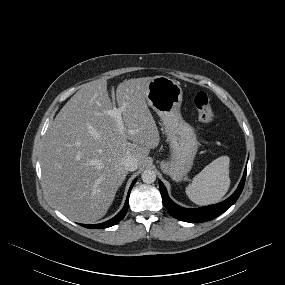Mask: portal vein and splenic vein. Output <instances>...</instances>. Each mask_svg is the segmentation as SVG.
<instances>
[{"mask_svg": "<svg viewBox=\"0 0 285 285\" xmlns=\"http://www.w3.org/2000/svg\"><path fill=\"white\" fill-rule=\"evenodd\" d=\"M123 108L124 107L113 108V109L105 111V114L110 115V116H112L115 119V121H116V123H117L121 133H123V129H124L123 121H122V111H123Z\"/></svg>", "mask_w": 285, "mask_h": 285, "instance_id": "obj_1", "label": "portal vein and splenic vein"}]
</instances>
